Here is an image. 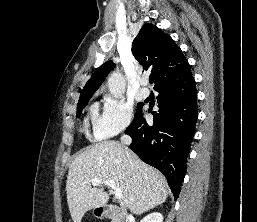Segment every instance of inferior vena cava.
<instances>
[{"mask_svg":"<svg viewBox=\"0 0 257 222\" xmlns=\"http://www.w3.org/2000/svg\"><path fill=\"white\" fill-rule=\"evenodd\" d=\"M120 140H121V143L125 146V152H126L127 157H129V150H128L127 146L130 145L132 142L131 137L128 135H123Z\"/></svg>","mask_w":257,"mask_h":222,"instance_id":"obj_1","label":"inferior vena cava"}]
</instances>
